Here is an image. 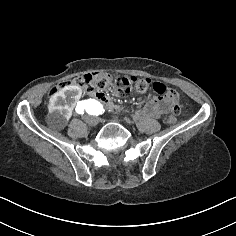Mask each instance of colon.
Returning a JSON list of instances; mask_svg holds the SVG:
<instances>
[{
	"mask_svg": "<svg viewBox=\"0 0 236 236\" xmlns=\"http://www.w3.org/2000/svg\"><path fill=\"white\" fill-rule=\"evenodd\" d=\"M73 84L80 86L89 94L109 88H116L122 93H128L133 88L140 92H145L149 89H152L158 94H165L172 103L173 111V114L165 119L166 123L168 124H174L176 122V115L179 114L183 109V103L178 97L177 93L168 89L160 82L150 81L137 76H122L114 78L110 74L101 71L87 73L71 80L62 81L58 85L53 86L50 89L49 94L53 95L60 89Z\"/></svg>",
	"mask_w": 236,
	"mask_h": 236,
	"instance_id": "obj_1",
	"label": "colon"
}]
</instances>
